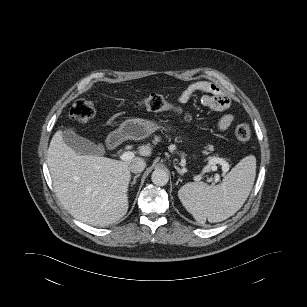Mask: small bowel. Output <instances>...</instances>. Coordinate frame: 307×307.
<instances>
[{"label": "small bowel", "instance_id": "c3829d8e", "mask_svg": "<svg viewBox=\"0 0 307 307\" xmlns=\"http://www.w3.org/2000/svg\"><path fill=\"white\" fill-rule=\"evenodd\" d=\"M196 92L204 94L202 98L204 105L213 110H226L230 105L229 99L222 93L217 85L203 80L196 81L181 90L177 96V100L184 104L188 102L191 96ZM232 122L233 117L231 115H224L218 123V129L220 131H225L230 127Z\"/></svg>", "mask_w": 307, "mask_h": 307}]
</instances>
